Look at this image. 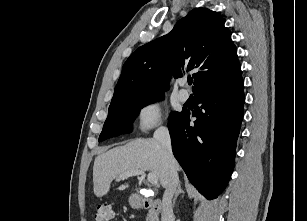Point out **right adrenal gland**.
<instances>
[{
  "mask_svg": "<svg viewBox=\"0 0 307 221\" xmlns=\"http://www.w3.org/2000/svg\"><path fill=\"white\" fill-rule=\"evenodd\" d=\"M181 193H184V190H183L182 187H181V183H179L178 188H177V190H176V192H175L174 199H173V205L175 204V202H176V200H177V197H178L179 194H181Z\"/></svg>",
  "mask_w": 307,
  "mask_h": 221,
  "instance_id": "right-adrenal-gland-1",
  "label": "right adrenal gland"
}]
</instances>
